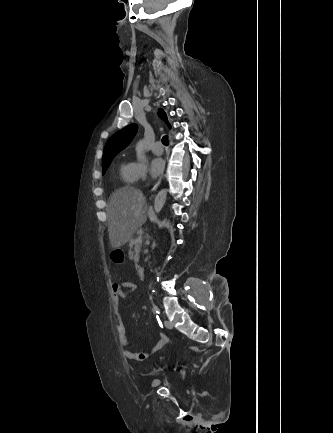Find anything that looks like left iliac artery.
Here are the masks:
<instances>
[{"mask_svg":"<svg viewBox=\"0 0 333 433\" xmlns=\"http://www.w3.org/2000/svg\"><path fill=\"white\" fill-rule=\"evenodd\" d=\"M153 310H154V312L157 313V314L160 313V311H159V309L157 308L156 305H153Z\"/></svg>","mask_w":333,"mask_h":433,"instance_id":"44dca946","label":"left iliac artery"}]
</instances>
